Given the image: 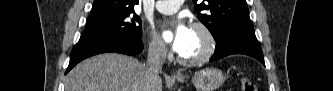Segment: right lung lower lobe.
<instances>
[{
	"mask_svg": "<svg viewBox=\"0 0 333 91\" xmlns=\"http://www.w3.org/2000/svg\"><path fill=\"white\" fill-rule=\"evenodd\" d=\"M143 50L141 39H132L122 34H91L83 33L78 44L73 48L67 74L77 63L90 56L117 52L135 55Z\"/></svg>",
	"mask_w": 333,
	"mask_h": 91,
	"instance_id": "98d812e1",
	"label": "right lung lower lobe"
}]
</instances>
